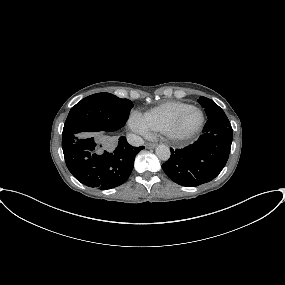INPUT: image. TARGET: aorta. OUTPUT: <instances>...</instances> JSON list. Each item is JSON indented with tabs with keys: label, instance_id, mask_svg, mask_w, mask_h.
Wrapping results in <instances>:
<instances>
[{
	"label": "aorta",
	"instance_id": "1",
	"mask_svg": "<svg viewBox=\"0 0 285 285\" xmlns=\"http://www.w3.org/2000/svg\"><path fill=\"white\" fill-rule=\"evenodd\" d=\"M155 152H156L157 157H158L160 160H163V161L169 160L170 155H171L170 149H169V147L166 146V145H158V146L156 147Z\"/></svg>",
	"mask_w": 285,
	"mask_h": 285
}]
</instances>
